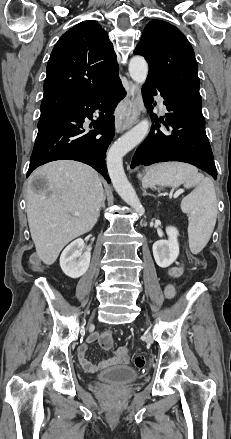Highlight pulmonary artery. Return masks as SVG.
<instances>
[{
	"instance_id": "1",
	"label": "pulmonary artery",
	"mask_w": 231,
	"mask_h": 439,
	"mask_svg": "<svg viewBox=\"0 0 231 439\" xmlns=\"http://www.w3.org/2000/svg\"><path fill=\"white\" fill-rule=\"evenodd\" d=\"M159 104H160V108L164 110L165 106L163 105V102H162L161 98L159 99Z\"/></svg>"
}]
</instances>
